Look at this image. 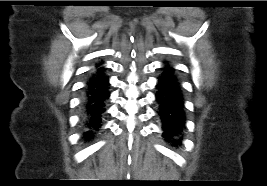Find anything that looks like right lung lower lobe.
<instances>
[{
    "mask_svg": "<svg viewBox=\"0 0 267 186\" xmlns=\"http://www.w3.org/2000/svg\"><path fill=\"white\" fill-rule=\"evenodd\" d=\"M109 77L102 63L89 75L81 98V121L86 129L85 137H92L102 122L106 101L109 99Z\"/></svg>",
    "mask_w": 267,
    "mask_h": 186,
    "instance_id": "98d812e1",
    "label": "right lung lower lobe"
}]
</instances>
